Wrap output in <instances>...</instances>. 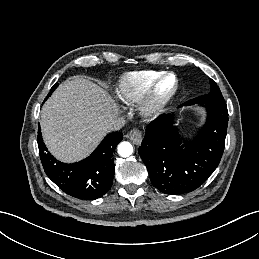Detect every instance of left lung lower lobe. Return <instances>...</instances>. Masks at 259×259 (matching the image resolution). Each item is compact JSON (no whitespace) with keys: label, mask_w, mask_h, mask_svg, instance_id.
<instances>
[{"label":"left lung lower lobe","mask_w":259,"mask_h":259,"mask_svg":"<svg viewBox=\"0 0 259 259\" xmlns=\"http://www.w3.org/2000/svg\"><path fill=\"white\" fill-rule=\"evenodd\" d=\"M200 104L207 109L208 118L193 141L182 144L170 114L159 116L146 128L139 154L152 184L165 194L197 189L221 160L228 125L227 105Z\"/></svg>","instance_id":"0a47b994"}]
</instances>
